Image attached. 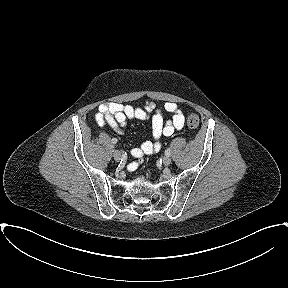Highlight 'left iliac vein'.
<instances>
[{"mask_svg": "<svg viewBox=\"0 0 288 288\" xmlns=\"http://www.w3.org/2000/svg\"><path fill=\"white\" fill-rule=\"evenodd\" d=\"M163 164L164 166H169L171 164V158L170 156L165 155L163 158Z\"/></svg>", "mask_w": 288, "mask_h": 288, "instance_id": "obj_1", "label": "left iliac vein"}]
</instances>
